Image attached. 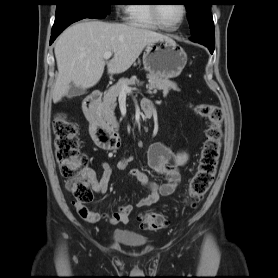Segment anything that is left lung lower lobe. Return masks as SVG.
<instances>
[{
    "mask_svg": "<svg viewBox=\"0 0 278 278\" xmlns=\"http://www.w3.org/2000/svg\"><path fill=\"white\" fill-rule=\"evenodd\" d=\"M191 40H192L193 42H197V43H200V44L206 46V47L210 50V53H211V54L213 53V51H214V45H211V44H208V43H205V42H201V41H199V40H196V39L193 38V37L191 38Z\"/></svg>",
    "mask_w": 278,
    "mask_h": 278,
    "instance_id": "1",
    "label": "left lung lower lobe"
}]
</instances>
